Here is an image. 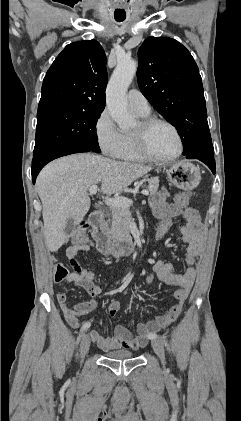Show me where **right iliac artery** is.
<instances>
[{"label": "right iliac artery", "instance_id": "1", "mask_svg": "<svg viewBox=\"0 0 241 421\" xmlns=\"http://www.w3.org/2000/svg\"><path fill=\"white\" fill-rule=\"evenodd\" d=\"M90 323L89 322H87V323H85L83 326H82V328H81V331H80V334H79V337H78V339H77V342H79V340H80V338H81V335H82V333L84 332V331H86L89 327H90Z\"/></svg>", "mask_w": 241, "mask_h": 421}]
</instances>
